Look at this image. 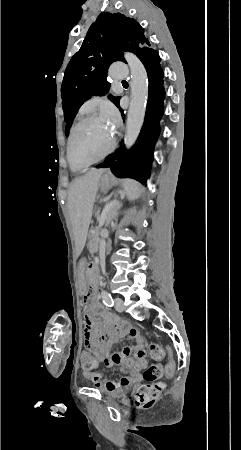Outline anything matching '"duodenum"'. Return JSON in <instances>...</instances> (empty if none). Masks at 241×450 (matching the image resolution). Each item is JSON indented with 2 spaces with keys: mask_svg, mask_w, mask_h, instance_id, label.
<instances>
[{
  "mask_svg": "<svg viewBox=\"0 0 241 450\" xmlns=\"http://www.w3.org/2000/svg\"><path fill=\"white\" fill-rule=\"evenodd\" d=\"M98 284V272L95 264L90 265L89 269V291L94 293Z\"/></svg>",
  "mask_w": 241,
  "mask_h": 450,
  "instance_id": "obj_1",
  "label": "duodenum"
}]
</instances>
